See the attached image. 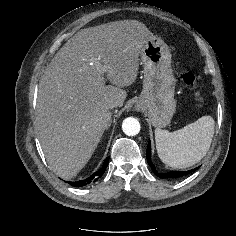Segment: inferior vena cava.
I'll use <instances>...</instances> for the list:
<instances>
[{
  "mask_svg": "<svg viewBox=\"0 0 236 236\" xmlns=\"http://www.w3.org/2000/svg\"><path fill=\"white\" fill-rule=\"evenodd\" d=\"M117 105L115 103H109L108 104V108L109 109H112V108H115Z\"/></svg>",
  "mask_w": 236,
  "mask_h": 236,
  "instance_id": "obj_1",
  "label": "inferior vena cava"
}]
</instances>
